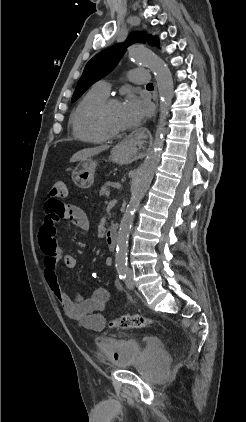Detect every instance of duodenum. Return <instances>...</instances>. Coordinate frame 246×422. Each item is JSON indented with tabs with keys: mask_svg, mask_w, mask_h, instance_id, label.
Instances as JSON below:
<instances>
[{
	"mask_svg": "<svg viewBox=\"0 0 246 422\" xmlns=\"http://www.w3.org/2000/svg\"><path fill=\"white\" fill-rule=\"evenodd\" d=\"M105 241H106L108 248L111 251L116 250V246H117V229H116V227L111 226L107 229L106 234H105Z\"/></svg>",
	"mask_w": 246,
	"mask_h": 422,
	"instance_id": "1",
	"label": "duodenum"
}]
</instances>
